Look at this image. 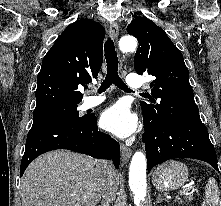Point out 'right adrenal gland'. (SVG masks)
Wrapping results in <instances>:
<instances>
[{
	"label": "right adrenal gland",
	"instance_id": "right-adrenal-gland-1",
	"mask_svg": "<svg viewBox=\"0 0 221 206\" xmlns=\"http://www.w3.org/2000/svg\"><path fill=\"white\" fill-rule=\"evenodd\" d=\"M100 206H109V204L103 202Z\"/></svg>",
	"mask_w": 221,
	"mask_h": 206
}]
</instances>
